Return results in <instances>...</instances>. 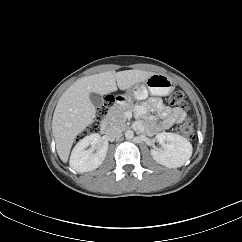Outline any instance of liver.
Instances as JSON below:
<instances>
[{"instance_id": "liver-1", "label": "liver", "mask_w": 242, "mask_h": 242, "mask_svg": "<svg viewBox=\"0 0 242 242\" xmlns=\"http://www.w3.org/2000/svg\"><path fill=\"white\" fill-rule=\"evenodd\" d=\"M153 74L141 70L107 71L83 77L72 84L60 97L52 120V132L60 159L64 163L68 161L77 135L94 122L96 109L89 98L91 92L104 95L116 91L117 86L121 90L130 89Z\"/></svg>"}]
</instances>
